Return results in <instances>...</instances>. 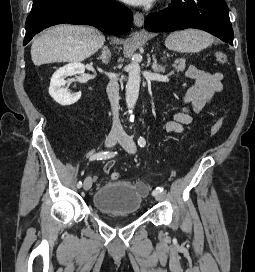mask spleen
Segmentation results:
<instances>
[{"instance_id": "1", "label": "spleen", "mask_w": 255, "mask_h": 272, "mask_svg": "<svg viewBox=\"0 0 255 272\" xmlns=\"http://www.w3.org/2000/svg\"><path fill=\"white\" fill-rule=\"evenodd\" d=\"M212 37L201 30L187 29L171 33L165 43L169 49L183 53L199 52L211 45Z\"/></svg>"}]
</instances>
